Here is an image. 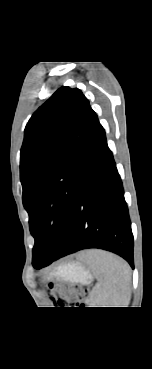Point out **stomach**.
Wrapping results in <instances>:
<instances>
[{
	"mask_svg": "<svg viewBox=\"0 0 152 369\" xmlns=\"http://www.w3.org/2000/svg\"><path fill=\"white\" fill-rule=\"evenodd\" d=\"M56 275L61 276L72 283L88 284L92 279L89 271L80 263H71L60 266Z\"/></svg>",
	"mask_w": 152,
	"mask_h": 369,
	"instance_id": "stomach-1",
	"label": "stomach"
}]
</instances>
